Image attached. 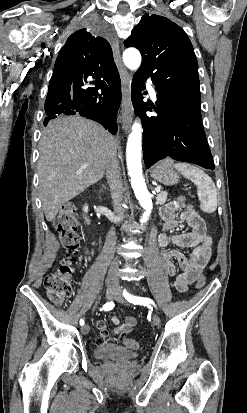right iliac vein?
Instances as JSON below:
<instances>
[{
  "mask_svg": "<svg viewBox=\"0 0 247 413\" xmlns=\"http://www.w3.org/2000/svg\"><path fill=\"white\" fill-rule=\"evenodd\" d=\"M106 287L107 288H106L105 296H106L107 300H110V299H112V297L116 293L117 288L113 284H108V285H106ZM89 330H90V326L88 324H86L82 327L81 332H82V334L86 335V334H88Z\"/></svg>",
  "mask_w": 247,
  "mask_h": 413,
  "instance_id": "right-iliac-vein-1",
  "label": "right iliac vein"
}]
</instances>
